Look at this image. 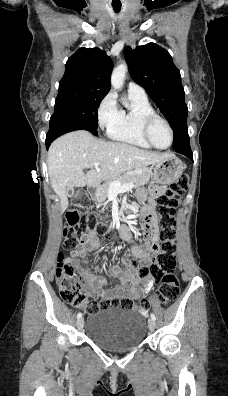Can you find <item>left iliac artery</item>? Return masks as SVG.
Wrapping results in <instances>:
<instances>
[{"instance_id": "left-iliac-artery-1", "label": "left iliac artery", "mask_w": 228, "mask_h": 396, "mask_svg": "<svg viewBox=\"0 0 228 396\" xmlns=\"http://www.w3.org/2000/svg\"><path fill=\"white\" fill-rule=\"evenodd\" d=\"M151 318L154 319V320H156V316H155L154 313H151Z\"/></svg>"}]
</instances>
